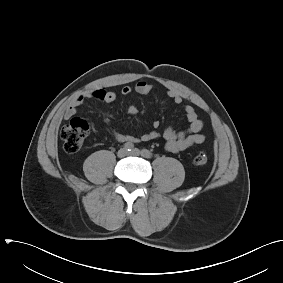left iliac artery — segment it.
<instances>
[{
  "mask_svg": "<svg viewBox=\"0 0 283 283\" xmlns=\"http://www.w3.org/2000/svg\"><path fill=\"white\" fill-rule=\"evenodd\" d=\"M141 153H142V156L146 158H152L153 156V154L147 149H142Z\"/></svg>",
  "mask_w": 283,
  "mask_h": 283,
  "instance_id": "44dca946",
  "label": "left iliac artery"
}]
</instances>
